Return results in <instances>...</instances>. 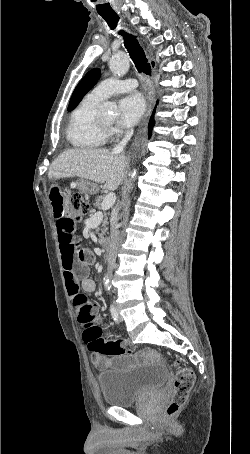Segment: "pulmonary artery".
Wrapping results in <instances>:
<instances>
[{
  "label": "pulmonary artery",
  "mask_w": 250,
  "mask_h": 454,
  "mask_svg": "<svg viewBox=\"0 0 250 454\" xmlns=\"http://www.w3.org/2000/svg\"><path fill=\"white\" fill-rule=\"evenodd\" d=\"M137 85L138 82L134 78L127 80L108 78L103 80L98 86H96L90 92L89 96L95 100L102 101L112 94L133 90L137 87Z\"/></svg>",
  "instance_id": "1"
}]
</instances>
